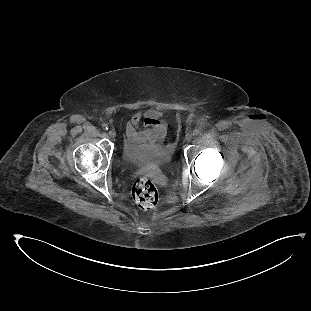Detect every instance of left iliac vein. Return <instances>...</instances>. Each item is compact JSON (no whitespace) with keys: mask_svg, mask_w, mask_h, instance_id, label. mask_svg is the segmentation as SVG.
I'll list each match as a JSON object with an SVG mask.
<instances>
[{"mask_svg":"<svg viewBox=\"0 0 311 311\" xmlns=\"http://www.w3.org/2000/svg\"><path fill=\"white\" fill-rule=\"evenodd\" d=\"M193 139V134L192 133H187L185 136V140L187 142L191 141Z\"/></svg>","mask_w":311,"mask_h":311,"instance_id":"obj_1","label":"left iliac vein"}]
</instances>
